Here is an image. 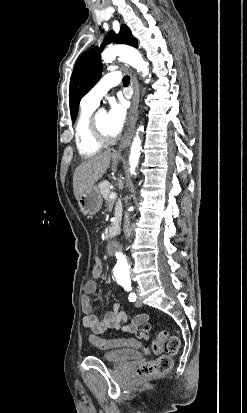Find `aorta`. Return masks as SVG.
Masks as SVG:
<instances>
[{"label":"aorta","mask_w":247,"mask_h":413,"mask_svg":"<svg viewBox=\"0 0 247 413\" xmlns=\"http://www.w3.org/2000/svg\"><path fill=\"white\" fill-rule=\"evenodd\" d=\"M119 57L123 62L131 65L133 68L137 70V72L142 73L143 77L151 75L149 74V67L148 63L142 58L141 54L138 50L133 47L127 45H115L106 48L102 53L103 61L110 63L115 60L116 57ZM146 83L149 82V79L145 81ZM138 131H144V127L140 126ZM141 140L138 136V132L133 139L131 149H130V156H129V164H130V173L136 174L135 169L138 165L140 154H141ZM117 270L121 277H126L129 273V267L126 260L123 257L119 258L117 264Z\"/></svg>","instance_id":"1"}]
</instances>
